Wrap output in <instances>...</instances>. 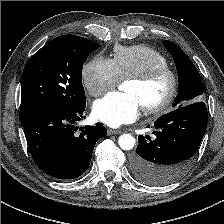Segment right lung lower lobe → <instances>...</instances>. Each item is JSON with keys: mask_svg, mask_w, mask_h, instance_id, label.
<instances>
[{"mask_svg": "<svg viewBox=\"0 0 224 224\" xmlns=\"http://www.w3.org/2000/svg\"><path fill=\"white\" fill-rule=\"evenodd\" d=\"M85 107L86 103L73 109L47 107L21 117L31 155L46 174L70 180L89 167L95 143L107 130L98 123L85 126L80 135L75 132V123L85 118Z\"/></svg>", "mask_w": 224, "mask_h": 224, "instance_id": "obj_1", "label": "right lung lower lobe"}]
</instances>
